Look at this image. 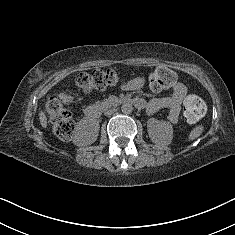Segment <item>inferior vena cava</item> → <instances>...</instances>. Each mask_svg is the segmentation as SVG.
<instances>
[{
	"label": "inferior vena cava",
	"mask_w": 235,
	"mask_h": 235,
	"mask_svg": "<svg viewBox=\"0 0 235 235\" xmlns=\"http://www.w3.org/2000/svg\"><path fill=\"white\" fill-rule=\"evenodd\" d=\"M114 112V110H108L105 112L106 115H111Z\"/></svg>",
	"instance_id": "inferior-vena-cava-1"
}]
</instances>
